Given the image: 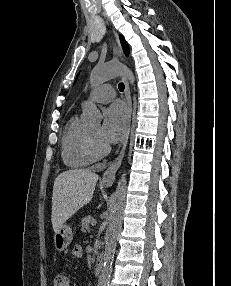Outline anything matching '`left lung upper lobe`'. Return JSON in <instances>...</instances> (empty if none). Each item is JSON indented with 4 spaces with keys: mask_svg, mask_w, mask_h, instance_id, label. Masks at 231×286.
I'll use <instances>...</instances> for the list:
<instances>
[{
    "mask_svg": "<svg viewBox=\"0 0 231 286\" xmlns=\"http://www.w3.org/2000/svg\"><path fill=\"white\" fill-rule=\"evenodd\" d=\"M120 41H121L122 48H123L125 54L128 56V54H129V47H128L127 42L124 40V38L122 36H120Z\"/></svg>",
    "mask_w": 231,
    "mask_h": 286,
    "instance_id": "obj_1",
    "label": "left lung upper lobe"
}]
</instances>
